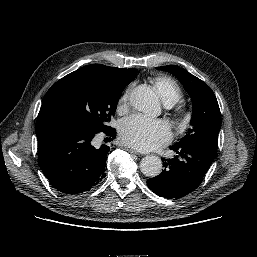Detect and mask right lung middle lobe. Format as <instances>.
<instances>
[{
  "label": "right lung middle lobe",
  "instance_id": "dd1d6c3e",
  "mask_svg": "<svg viewBox=\"0 0 257 257\" xmlns=\"http://www.w3.org/2000/svg\"><path fill=\"white\" fill-rule=\"evenodd\" d=\"M134 68L118 76L99 70H76L58 82L46 93L41 107L43 121L52 126L70 125L92 132H105L114 116L124 88L136 77Z\"/></svg>",
  "mask_w": 257,
  "mask_h": 257
}]
</instances>
